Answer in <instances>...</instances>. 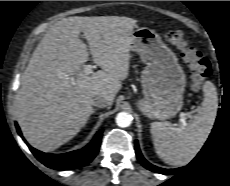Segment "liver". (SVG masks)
I'll list each match as a JSON object with an SVG mask.
<instances>
[{
  "instance_id": "1",
  "label": "liver",
  "mask_w": 230,
  "mask_h": 186,
  "mask_svg": "<svg viewBox=\"0 0 230 186\" xmlns=\"http://www.w3.org/2000/svg\"><path fill=\"white\" fill-rule=\"evenodd\" d=\"M137 21L129 17H68L57 21L34 50L21 78L15 112L28 143L44 152L70 141L94 112L92 98L110 107L128 77ZM102 69L86 75L89 51Z\"/></svg>"
}]
</instances>
